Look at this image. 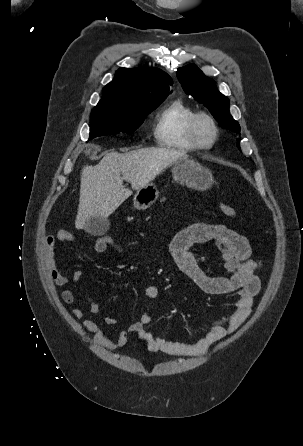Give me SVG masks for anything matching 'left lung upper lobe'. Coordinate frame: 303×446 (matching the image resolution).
Listing matches in <instances>:
<instances>
[{
	"mask_svg": "<svg viewBox=\"0 0 303 446\" xmlns=\"http://www.w3.org/2000/svg\"><path fill=\"white\" fill-rule=\"evenodd\" d=\"M177 77L187 94L204 104L224 128L240 133V126L229 112V100L216 88L215 81L194 64L177 70ZM239 147V143L237 144Z\"/></svg>",
	"mask_w": 303,
	"mask_h": 446,
	"instance_id": "obj_1",
	"label": "left lung upper lobe"
}]
</instances>
